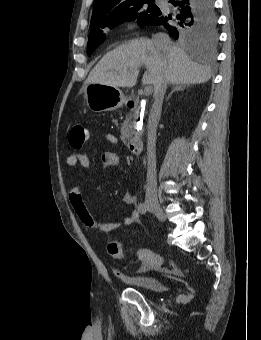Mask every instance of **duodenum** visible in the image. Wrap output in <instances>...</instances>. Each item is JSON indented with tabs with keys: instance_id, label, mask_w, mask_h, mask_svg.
<instances>
[{
	"instance_id": "duodenum-1",
	"label": "duodenum",
	"mask_w": 261,
	"mask_h": 340,
	"mask_svg": "<svg viewBox=\"0 0 261 340\" xmlns=\"http://www.w3.org/2000/svg\"><path fill=\"white\" fill-rule=\"evenodd\" d=\"M128 107L130 109H135L136 103L131 101L128 103ZM142 146H143L142 137L139 135L131 137L127 142V147L129 151L134 155H139L141 153Z\"/></svg>"
}]
</instances>
